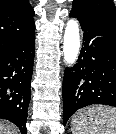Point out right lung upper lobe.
<instances>
[{
    "label": "right lung upper lobe",
    "mask_w": 116,
    "mask_h": 134,
    "mask_svg": "<svg viewBox=\"0 0 116 134\" xmlns=\"http://www.w3.org/2000/svg\"><path fill=\"white\" fill-rule=\"evenodd\" d=\"M28 0H0V54L35 31Z\"/></svg>",
    "instance_id": "right-lung-upper-lobe-1"
}]
</instances>
